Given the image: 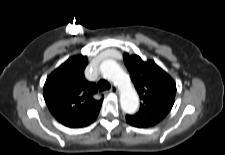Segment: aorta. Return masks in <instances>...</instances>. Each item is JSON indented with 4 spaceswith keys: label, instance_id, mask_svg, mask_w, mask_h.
Here are the masks:
<instances>
[{
    "label": "aorta",
    "instance_id": "1",
    "mask_svg": "<svg viewBox=\"0 0 225 155\" xmlns=\"http://www.w3.org/2000/svg\"><path fill=\"white\" fill-rule=\"evenodd\" d=\"M100 71L104 78L112 81L119 88L122 110L128 114L135 113L139 107V98L120 65L112 59H107L101 62Z\"/></svg>",
    "mask_w": 225,
    "mask_h": 155
}]
</instances>
